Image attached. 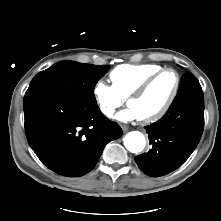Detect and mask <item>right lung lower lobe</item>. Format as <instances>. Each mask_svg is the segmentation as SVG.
Masks as SVG:
<instances>
[{"label":"right lung lower lobe","instance_id":"right-lung-lower-lobe-1","mask_svg":"<svg viewBox=\"0 0 221 221\" xmlns=\"http://www.w3.org/2000/svg\"><path fill=\"white\" fill-rule=\"evenodd\" d=\"M25 131L35 154L52 171L82 176L98 162L107 143L122 136L97 104L49 94L24 97Z\"/></svg>","mask_w":221,"mask_h":221}]
</instances>
